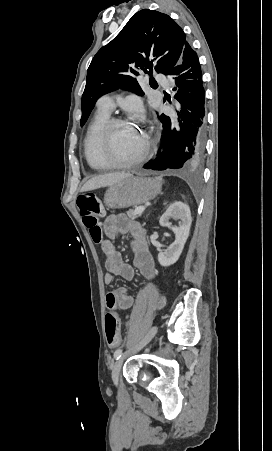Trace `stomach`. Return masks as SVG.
<instances>
[{"mask_svg":"<svg viewBox=\"0 0 272 451\" xmlns=\"http://www.w3.org/2000/svg\"><path fill=\"white\" fill-rule=\"evenodd\" d=\"M161 192V184L157 180L141 178V176H127L117 184L109 186L105 196L104 204L107 208H129V206H140L148 200H153Z\"/></svg>","mask_w":272,"mask_h":451,"instance_id":"stomach-1","label":"stomach"}]
</instances>
